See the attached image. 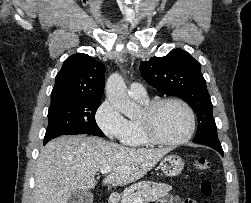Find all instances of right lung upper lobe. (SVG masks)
Masks as SVG:
<instances>
[{
    "mask_svg": "<svg viewBox=\"0 0 251 203\" xmlns=\"http://www.w3.org/2000/svg\"><path fill=\"white\" fill-rule=\"evenodd\" d=\"M105 66L86 54L67 58L56 75L51 106L76 100L100 99L104 91Z\"/></svg>",
    "mask_w": 251,
    "mask_h": 203,
    "instance_id": "obj_1",
    "label": "right lung upper lobe"
}]
</instances>
